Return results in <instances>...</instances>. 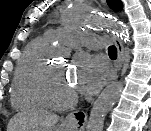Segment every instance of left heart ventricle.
I'll use <instances>...</instances> for the list:
<instances>
[{
  "label": "left heart ventricle",
  "mask_w": 151,
  "mask_h": 131,
  "mask_svg": "<svg viewBox=\"0 0 151 131\" xmlns=\"http://www.w3.org/2000/svg\"><path fill=\"white\" fill-rule=\"evenodd\" d=\"M53 74L48 82V92L52 98L63 99L74 93L73 85L69 83L63 64L53 65Z\"/></svg>",
  "instance_id": "b2bd125f"
}]
</instances>
